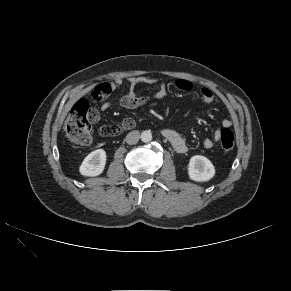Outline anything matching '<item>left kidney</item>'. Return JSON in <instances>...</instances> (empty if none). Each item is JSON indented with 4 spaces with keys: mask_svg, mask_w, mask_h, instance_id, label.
<instances>
[{
    "mask_svg": "<svg viewBox=\"0 0 291 291\" xmlns=\"http://www.w3.org/2000/svg\"><path fill=\"white\" fill-rule=\"evenodd\" d=\"M188 175L194 181L206 182L215 175V168L208 158L195 155L189 161Z\"/></svg>",
    "mask_w": 291,
    "mask_h": 291,
    "instance_id": "left-kidney-1",
    "label": "left kidney"
}]
</instances>
